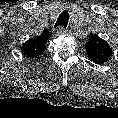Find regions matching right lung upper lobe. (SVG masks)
Returning <instances> with one entry per match:
<instances>
[{
  "label": "right lung upper lobe",
  "mask_w": 118,
  "mask_h": 118,
  "mask_svg": "<svg viewBox=\"0 0 118 118\" xmlns=\"http://www.w3.org/2000/svg\"><path fill=\"white\" fill-rule=\"evenodd\" d=\"M48 30L44 29L42 34L34 39H29L22 45V52L27 57H37L41 55L45 50V42L50 38Z\"/></svg>",
  "instance_id": "cb5924a9"
}]
</instances>
